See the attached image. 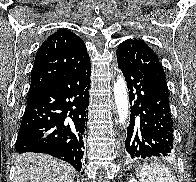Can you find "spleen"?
<instances>
[{"instance_id":"1","label":"spleen","mask_w":196,"mask_h":182,"mask_svg":"<svg viewBox=\"0 0 196 182\" xmlns=\"http://www.w3.org/2000/svg\"><path fill=\"white\" fill-rule=\"evenodd\" d=\"M136 174L140 182H177L170 169L158 164L140 167Z\"/></svg>"}]
</instances>
